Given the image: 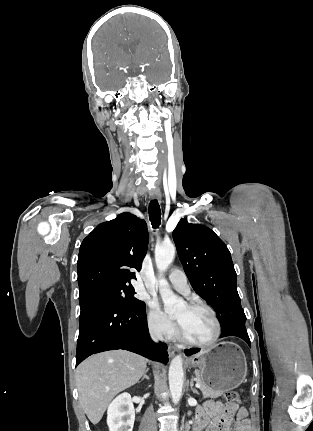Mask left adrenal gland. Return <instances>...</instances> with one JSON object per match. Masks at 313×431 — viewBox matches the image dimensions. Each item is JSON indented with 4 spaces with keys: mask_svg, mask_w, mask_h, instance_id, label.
<instances>
[{
    "mask_svg": "<svg viewBox=\"0 0 313 431\" xmlns=\"http://www.w3.org/2000/svg\"><path fill=\"white\" fill-rule=\"evenodd\" d=\"M193 386H194L193 379H191V381H190V388H191V390H192V392L194 394L199 395V392L195 388H193Z\"/></svg>",
    "mask_w": 313,
    "mask_h": 431,
    "instance_id": "left-adrenal-gland-1",
    "label": "left adrenal gland"
}]
</instances>
